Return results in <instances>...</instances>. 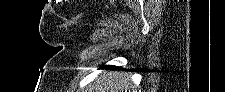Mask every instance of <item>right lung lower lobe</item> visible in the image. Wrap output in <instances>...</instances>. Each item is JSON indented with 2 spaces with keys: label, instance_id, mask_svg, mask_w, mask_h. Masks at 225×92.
<instances>
[{
  "label": "right lung lower lobe",
  "instance_id": "1",
  "mask_svg": "<svg viewBox=\"0 0 225 92\" xmlns=\"http://www.w3.org/2000/svg\"><path fill=\"white\" fill-rule=\"evenodd\" d=\"M100 69H121V70H127V69H123L121 67H116V66H112V65H103V66H100Z\"/></svg>",
  "mask_w": 225,
  "mask_h": 92
}]
</instances>
